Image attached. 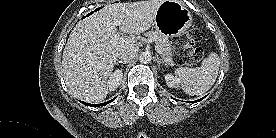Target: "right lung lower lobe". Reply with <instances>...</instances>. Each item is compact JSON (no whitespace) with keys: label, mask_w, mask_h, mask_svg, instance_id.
Here are the masks:
<instances>
[{"label":"right lung lower lobe","mask_w":276,"mask_h":138,"mask_svg":"<svg viewBox=\"0 0 276 138\" xmlns=\"http://www.w3.org/2000/svg\"><path fill=\"white\" fill-rule=\"evenodd\" d=\"M115 99V98H114ZM114 99H112V100H110V101H108V102H105V103H102V104H88V103H86V102H82L84 105H87V106H94V107H99V106H105V105H107L108 103H110L111 101H113Z\"/></svg>","instance_id":"1"}]
</instances>
